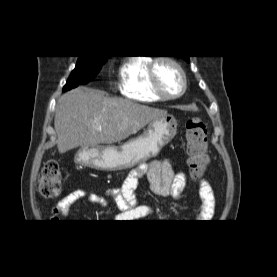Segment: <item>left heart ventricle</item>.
I'll return each instance as SVG.
<instances>
[{"label":"left heart ventricle","instance_id":"left-heart-ventricle-1","mask_svg":"<svg viewBox=\"0 0 277 277\" xmlns=\"http://www.w3.org/2000/svg\"><path fill=\"white\" fill-rule=\"evenodd\" d=\"M157 75L163 91L168 95L177 94L182 88V79L175 67L160 62L157 66Z\"/></svg>","mask_w":277,"mask_h":277}]
</instances>
